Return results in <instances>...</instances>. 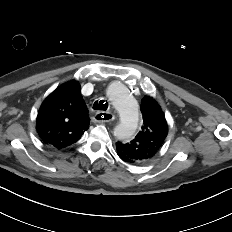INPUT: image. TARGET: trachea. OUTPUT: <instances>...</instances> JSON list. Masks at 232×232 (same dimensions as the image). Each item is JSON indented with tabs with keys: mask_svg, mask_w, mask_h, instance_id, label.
Listing matches in <instances>:
<instances>
[{
	"mask_svg": "<svg viewBox=\"0 0 232 232\" xmlns=\"http://www.w3.org/2000/svg\"><path fill=\"white\" fill-rule=\"evenodd\" d=\"M107 108H108V102H106L105 100L96 101L93 104V109L94 110L106 111Z\"/></svg>",
	"mask_w": 232,
	"mask_h": 232,
	"instance_id": "1",
	"label": "trachea"
}]
</instances>
